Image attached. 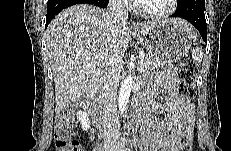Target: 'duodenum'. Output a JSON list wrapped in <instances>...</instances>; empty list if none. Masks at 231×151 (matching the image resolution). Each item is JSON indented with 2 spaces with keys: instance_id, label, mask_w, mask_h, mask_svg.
Here are the masks:
<instances>
[{
  "instance_id": "obj_1",
  "label": "duodenum",
  "mask_w": 231,
  "mask_h": 151,
  "mask_svg": "<svg viewBox=\"0 0 231 151\" xmlns=\"http://www.w3.org/2000/svg\"><path fill=\"white\" fill-rule=\"evenodd\" d=\"M95 94L96 88H93L87 96V98L82 101V105L90 110L92 118L95 122H100L104 119L105 113L101 109H99L95 104ZM135 107L137 109V114L139 116L143 115V106L142 103L138 100L135 102Z\"/></svg>"
}]
</instances>
